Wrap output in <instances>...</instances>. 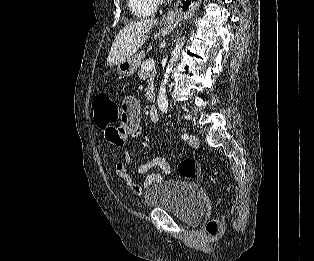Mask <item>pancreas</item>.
Returning a JSON list of instances; mask_svg holds the SVG:
<instances>
[{"instance_id":"cf45deb5","label":"pancreas","mask_w":314,"mask_h":261,"mask_svg":"<svg viewBox=\"0 0 314 261\" xmlns=\"http://www.w3.org/2000/svg\"><path fill=\"white\" fill-rule=\"evenodd\" d=\"M144 64H145V62H143L140 65V70L138 71V75H139L140 79H147L148 80V86H147V91H146V98L150 102H152L153 99H154V78H155V75H156V70L154 69L151 72L147 71L144 68Z\"/></svg>"}]
</instances>
